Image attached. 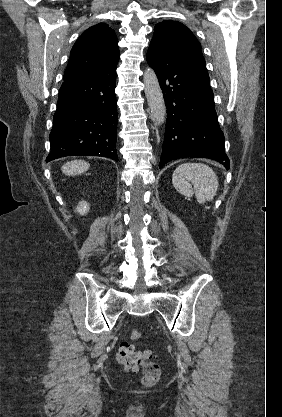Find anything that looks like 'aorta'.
Segmentation results:
<instances>
[{"mask_svg":"<svg viewBox=\"0 0 282 417\" xmlns=\"http://www.w3.org/2000/svg\"><path fill=\"white\" fill-rule=\"evenodd\" d=\"M144 90L151 108L152 116L157 124H162L166 116V106L159 80L153 68H146L143 74Z\"/></svg>","mask_w":282,"mask_h":417,"instance_id":"1","label":"aorta"}]
</instances>
